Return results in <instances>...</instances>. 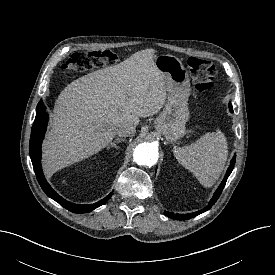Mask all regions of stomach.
<instances>
[{
  "mask_svg": "<svg viewBox=\"0 0 275 275\" xmlns=\"http://www.w3.org/2000/svg\"><path fill=\"white\" fill-rule=\"evenodd\" d=\"M155 65L162 72L168 91L165 107L155 127L167 140L176 141L185 134V125L189 119V75L181 60L173 55L156 56Z\"/></svg>",
  "mask_w": 275,
  "mask_h": 275,
  "instance_id": "stomach-1",
  "label": "stomach"
}]
</instances>
